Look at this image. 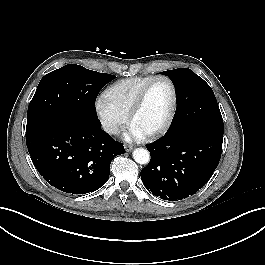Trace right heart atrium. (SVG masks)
<instances>
[{
  "label": "right heart atrium",
  "instance_id": "1",
  "mask_svg": "<svg viewBox=\"0 0 265 265\" xmlns=\"http://www.w3.org/2000/svg\"><path fill=\"white\" fill-rule=\"evenodd\" d=\"M95 112L101 127L109 135H117L127 123V116L114 109L104 98L96 101Z\"/></svg>",
  "mask_w": 265,
  "mask_h": 265
}]
</instances>
